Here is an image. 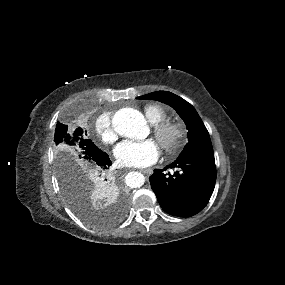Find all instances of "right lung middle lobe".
Instances as JSON below:
<instances>
[{
  "instance_id": "dd1d6c3e",
  "label": "right lung middle lobe",
  "mask_w": 285,
  "mask_h": 285,
  "mask_svg": "<svg viewBox=\"0 0 285 285\" xmlns=\"http://www.w3.org/2000/svg\"><path fill=\"white\" fill-rule=\"evenodd\" d=\"M81 128L68 130L58 123L55 142L58 146L57 174L62 193L78 217L97 227H107L119 221L115 215L110 221L101 219L90 206L95 183H102L103 172L96 163L103 152Z\"/></svg>"
}]
</instances>
